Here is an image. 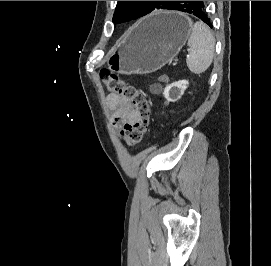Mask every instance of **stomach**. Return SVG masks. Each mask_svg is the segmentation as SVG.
Segmentation results:
<instances>
[{
    "instance_id": "stomach-1",
    "label": "stomach",
    "mask_w": 271,
    "mask_h": 266,
    "mask_svg": "<svg viewBox=\"0 0 271 266\" xmlns=\"http://www.w3.org/2000/svg\"><path fill=\"white\" fill-rule=\"evenodd\" d=\"M191 27V20L182 13H154L127 32L109 56L108 66L126 75L154 72L179 53Z\"/></svg>"
}]
</instances>
